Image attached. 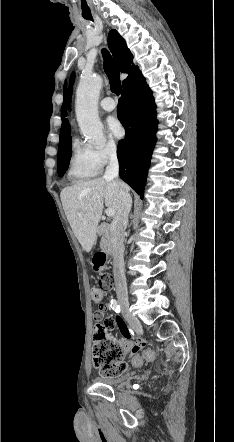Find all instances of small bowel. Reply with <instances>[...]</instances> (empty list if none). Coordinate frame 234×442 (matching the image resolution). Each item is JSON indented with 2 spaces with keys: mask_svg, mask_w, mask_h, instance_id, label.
I'll use <instances>...</instances> for the list:
<instances>
[{
  "mask_svg": "<svg viewBox=\"0 0 234 442\" xmlns=\"http://www.w3.org/2000/svg\"><path fill=\"white\" fill-rule=\"evenodd\" d=\"M107 304H103L100 306L99 310H97L94 314V318L96 322L94 323V330L98 333H103L104 331H116L117 328H121V332L123 334V338L119 341L122 345L124 352L126 350H141L145 347V341L142 338H138L136 340L132 339V336L126 327L127 322L125 319H119L118 315L114 314H106L104 312L108 309Z\"/></svg>",
  "mask_w": 234,
  "mask_h": 442,
  "instance_id": "c3829d8e",
  "label": "small bowel"
}]
</instances>
